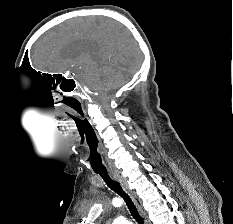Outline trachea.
<instances>
[{
    "label": "trachea",
    "instance_id": "1",
    "mask_svg": "<svg viewBox=\"0 0 233 224\" xmlns=\"http://www.w3.org/2000/svg\"><path fill=\"white\" fill-rule=\"evenodd\" d=\"M98 175H100L102 177V179L105 181V183L107 184V186L113 190L115 193H117L118 195H120L124 201L126 202V205L132 215V217L139 223V224H143L142 222V218L140 217L133 201L131 200V198L129 197V195L127 193H125V191L122 189V187L120 186V184L112 179L110 177V175L108 174V172H96Z\"/></svg>",
    "mask_w": 233,
    "mask_h": 224
}]
</instances>
